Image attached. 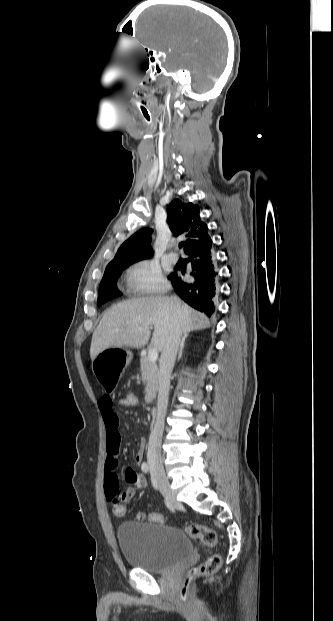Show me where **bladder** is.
Masks as SVG:
<instances>
[{"instance_id": "31cf9c89", "label": "bladder", "mask_w": 333, "mask_h": 621, "mask_svg": "<svg viewBox=\"0 0 333 621\" xmlns=\"http://www.w3.org/2000/svg\"><path fill=\"white\" fill-rule=\"evenodd\" d=\"M125 561L150 573L163 574L190 553V541L179 529L152 521H127L117 529Z\"/></svg>"}]
</instances>
